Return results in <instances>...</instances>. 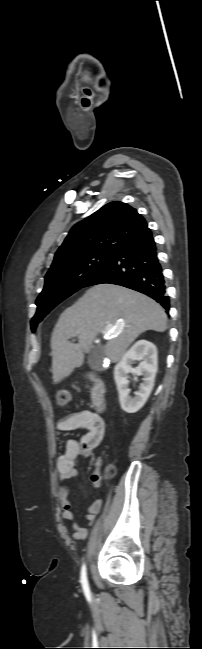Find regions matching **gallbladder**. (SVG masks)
Returning a JSON list of instances; mask_svg holds the SVG:
<instances>
[{"instance_id":"gallbladder-1","label":"gallbladder","mask_w":202,"mask_h":649,"mask_svg":"<svg viewBox=\"0 0 202 649\" xmlns=\"http://www.w3.org/2000/svg\"><path fill=\"white\" fill-rule=\"evenodd\" d=\"M103 353L98 349L92 348L88 353V364L92 369L100 370L102 368Z\"/></svg>"}]
</instances>
